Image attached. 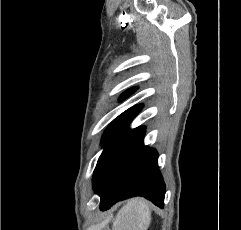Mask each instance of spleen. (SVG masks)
Here are the masks:
<instances>
[{
    "label": "spleen",
    "instance_id": "obj_1",
    "mask_svg": "<svg viewBox=\"0 0 241 230\" xmlns=\"http://www.w3.org/2000/svg\"><path fill=\"white\" fill-rule=\"evenodd\" d=\"M151 221L149 203L142 198L131 199L119 210L112 230H147Z\"/></svg>",
    "mask_w": 241,
    "mask_h": 230
}]
</instances>
